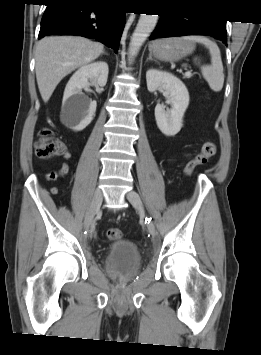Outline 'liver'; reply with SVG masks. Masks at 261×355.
<instances>
[{"mask_svg": "<svg viewBox=\"0 0 261 355\" xmlns=\"http://www.w3.org/2000/svg\"><path fill=\"white\" fill-rule=\"evenodd\" d=\"M103 49L101 43L83 37L51 36L41 39L36 46L35 71L43 101L48 102L66 75L97 59Z\"/></svg>", "mask_w": 261, "mask_h": 355, "instance_id": "6515ba94", "label": "liver"}]
</instances>
